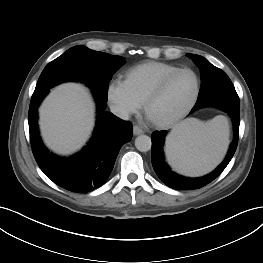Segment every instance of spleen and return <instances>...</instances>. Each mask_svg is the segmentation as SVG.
Masks as SVG:
<instances>
[{"label": "spleen", "mask_w": 263, "mask_h": 263, "mask_svg": "<svg viewBox=\"0 0 263 263\" xmlns=\"http://www.w3.org/2000/svg\"><path fill=\"white\" fill-rule=\"evenodd\" d=\"M228 142L226 117L219 115L206 123L191 118L176 126L167 137V160L181 174L200 176L220 163Z\"/></svg>", "instance_id": "obj_1"}]
</instances>
